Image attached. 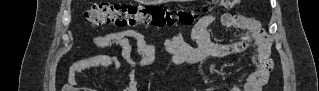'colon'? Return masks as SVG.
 Returning <instances> with one entry per match:
<instances>
[{
  "mask_svg": "<svg viewBox=\"0 0 319 91\" xmlns=\"http://www.w3.org/2000/svg\"><path fill=\"white\" fill-rule=\"evenodd\" d=\"M239 0H222L214 4L232 8ZM86 21L94 26L113 24L119 27H135L150 25L153 27H171L176 24L191 26L197 19V13L192 9H169L162 6H136L126 3L101 2L92 5L85 11ZM259 63L266 69H271L272 58L268 43L261 52Z\"/></svg>",
  "mask_w": 319,
  "mask_h": 91,
  "instance_id": "1",
  "label": "colon"
}]
</instances>
